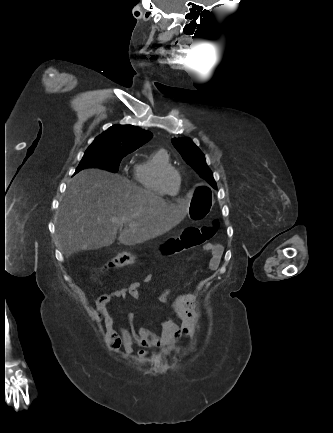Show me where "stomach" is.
<instances>
[{"mask_svg": "<svg viewBox=\"0 0 333 433\" xmlns=\"http://www.w3.org/2000/svg\"><path fill=\"white\" fill-rule=\"evenodd\" d=\"M212 207V188L206 184H198L193 191L189 217L192 220L203 219L210 214Z\"/></svg>", "mask_w": 333, "mask_h": 433, "instance_id": "stomach-1", "label": "stomach"}]
</instances>
